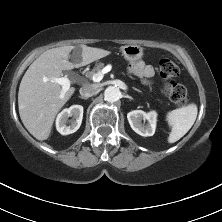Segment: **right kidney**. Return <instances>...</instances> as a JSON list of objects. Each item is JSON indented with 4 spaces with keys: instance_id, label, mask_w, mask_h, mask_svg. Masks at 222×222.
<instances>
[{
    "instance_id": "right-kidney-1",
    "label": "right kidney",
    "mask_w": 222,
    "mask_h": 222,
    "mask_svg": "<svg viewBox=\"0 0 222 222\" xmlns=\"http://www.w3.org/2000/svg\"><path fill=\"white\" fill-rule=\"evenodd\" d=\"M69 117H73L71 121ZM83 118V106L72 105L70 108L63 109L56 118V129L62 135H68L76 132Z\"/></svg>"
}]
</instances>
